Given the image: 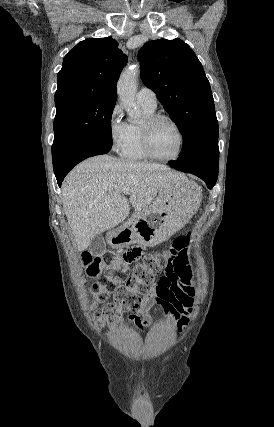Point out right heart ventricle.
Returning a JSON list of instances; mask_svg holds the SVG:
<instances>
[{
    "mask_svg": "<svg viewBox=\"0 0 274 427\" xmlns=\"http://www.w3.org/2000/svg\"><path fill=\"white\" fill-rule=\"evenodd\" d=\"M142 109L145 117L155 113V110L143 107ZM140 124L141 122L127 124V136L119 152L120 157L126 161L143 162L149 160L141 147Z\"/></svg>",
    "mask_w": 274,
    "mask_h": 427,
    "instance_id": "right-heart-ventricle-1",
    "label": "right heart ventricle"
}]
</instances>
